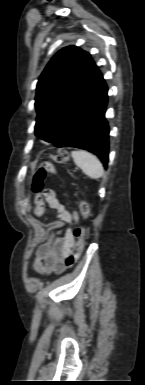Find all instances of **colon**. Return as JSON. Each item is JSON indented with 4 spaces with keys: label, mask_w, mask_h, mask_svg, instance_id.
I'll return each instance as SVG.
<instances>
[{
    "label": "colon",
    "mask_w": 145,
    "mask_h": 385,
    "mask_svg": "<svg viewBox=\"0 0 145 385\" xmlns=\"http://www.w3.org/2000/svg\"><path fill=\"white\" fill-rule=\"evenodd\" d=\"M56 163L64 164L68 161V154L66 152H60L50 156ZM47 174H56V168L54 165L46 161L44 162L32 175L30 187L31 190L37 194L35 200L38 201V194L43 190V182ZM79 211L84 220H88L90 217V207L85 200L79 201ZM85 226H79L73 231V236L76 238L74 248L71 255L68 258L70 266L74 265L79 259L84 246H85Z\"/></svg>",
    "instance_id": "obj_1"
}]
</instances>
